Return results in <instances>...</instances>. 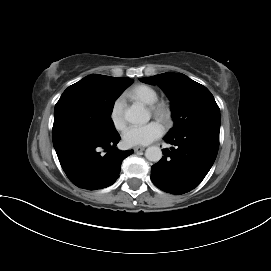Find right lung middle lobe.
<instances>
[{
    "label": "right lung middle lobe",
    "instance_id": "obj_1",
    "mask_svg": "<svg viewBox=\"0 0 271 271\" xmlns=\"http://www.w3.org/2000/svg\"><path fill=\"white\" fill-rule=\"evenodd\" d=\"M131 83H110L90 75L69 86L55 105L54 147L82 135L115 134L110 114L115 100Z\"/></svg>",
    "mask_w": 271,
    "mask_h": 271
}]
</instances>
